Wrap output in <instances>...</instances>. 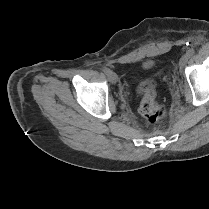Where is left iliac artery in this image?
<instances>
[{"instance_id": "1", "label": "left iliac artery", "mask_w": 209, "mask_h": 209, "mask_svg": "<svg viewBox=\"0 0 209 209\" xmlns=\"http://www.w3.org/2000/svg\"><path fill=\"white\" fill-rule=\"evenodd\" d=\"M194 53H195V50H194L193 48H190V49L187 51V55H188L189 57L193 56Z\"/></svg>"}]
</instances>
